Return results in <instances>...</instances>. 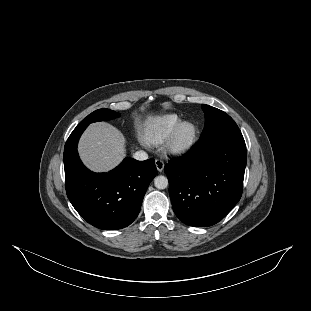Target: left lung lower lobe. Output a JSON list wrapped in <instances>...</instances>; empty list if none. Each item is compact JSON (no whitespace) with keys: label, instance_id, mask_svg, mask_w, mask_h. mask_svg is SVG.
<instances>
[{"label":"left lung lower lobe","instance_id":"obj_1","mask_svg":"<svg viewBox=\"0 0 311 311\" xmlns=\"http://www.w3.org/2000/svg\"><path fill=\"white\" fill-rule=\"evenodd\" d=\"M245 167L246 145L240 129L200 138L164 169L176 216L197 227L219 222L241 198Z\"/></svg>","mask_w":311,"mask_h":311}]
</instances>
